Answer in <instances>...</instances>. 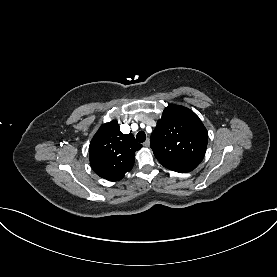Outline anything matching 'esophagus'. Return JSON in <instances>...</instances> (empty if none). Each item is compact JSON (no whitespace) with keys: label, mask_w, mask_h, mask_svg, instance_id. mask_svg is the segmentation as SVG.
I'll use <instances>...</instances> for the list:
<instances>
[{"label":"esophagus","mask_w":277,"mask_h":277,"mask_svg":"<svg viewBox=\"0 0 277 277\" xmlns=\"http://www.w3.org/2000/svg\"><path fill=\"white\" fill-rule=\"evenodd\" d=\"M149 145H150V140L147 139V140L143 143V146H144V147H149Z\"/></svg>","instance_id":"1"}]
</instances>
